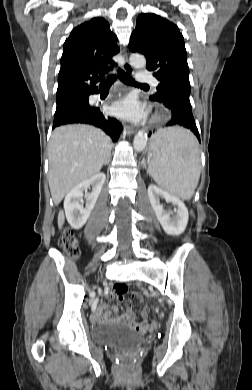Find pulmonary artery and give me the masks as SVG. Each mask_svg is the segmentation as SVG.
<instances>
[{
	"mask_svg": "<svg viewBox=\"0 0 252 390\" xmlns=\"http://www.w3.org/2000/svg\"><path fill=\"white\" fill-rule=\"evenodd\" d=\"M136 79L139 82H151L154 86L158 85L157 80L152 75L146 72L137 73Z\"/></svg>",
	"mask_w": 252,
	"mask_h": 390,
	"instance_id": "e3ab8cb5",
	"label": "pulmonary artery"
}]
</instances>
